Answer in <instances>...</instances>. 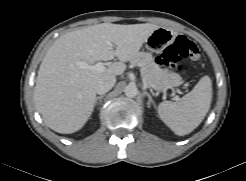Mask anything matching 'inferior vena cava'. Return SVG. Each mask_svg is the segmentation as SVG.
I'll use <instances>...</instances> for the list:
<instances>
[{"instance_id": "1", "label": "inferior vena cava", "mask_w": 246, "mask_h": 181, "mask_svg": "<svg viewBox=\"0 0 246 181\" xmlns=\"http://www.w3.org/2000/svg\"><path fill=\"white\" fill-rule=\"evenodd\" d=\"M116 82L115 76H106L101 78L95 86V91L97 94L103 95L112 89Z\"/></svg>"}]
</instances>
